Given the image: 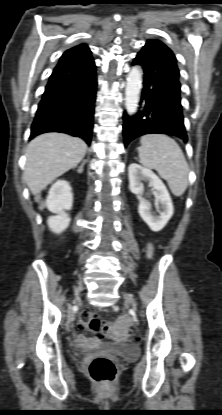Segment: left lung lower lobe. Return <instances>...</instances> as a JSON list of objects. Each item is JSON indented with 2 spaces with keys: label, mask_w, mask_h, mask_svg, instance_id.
<instances>
[{
  "label": "left lung lower lobe",
  "mask_w": 222,
  "mask_h": 415,
  "mask_svg": "<svg viewBox=\"0 0 222 415\" xmlns=\"http://www.w3.org/2000/svg\"><path fill=\"white\" fill-rule=\"evenodd\" d=\"M144 72L140 110L123 115L124 146L145 134H167L187 142L176 58L157 40H148L133 61Z\"/></svg>",
  "instance_id": "0a47b994"
}]
</instances>
